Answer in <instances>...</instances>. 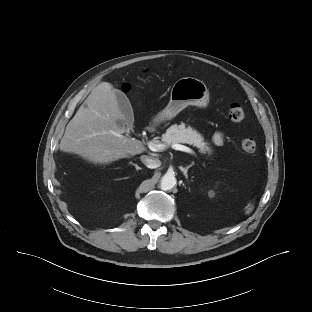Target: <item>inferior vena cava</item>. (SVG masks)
Returning <instances> with one entry per match:
<instances>
[{
  "mask_svg": "<svg viewBox=\"0 0 312 312\" xmlns=\"http://www.w3.org/2000/svg\"><path fill=\"white\" fill-rule=\"evenodd\" d=\"M140 159L142 163L150 169H155L161 165V161L158 158H152L147 155H142Z\"/></svg>",
  "mask_w": 312,
  "mask_h": 312,
  "instance_id": "602c4592",
  "label": "inferior vena cava"
}]
</instances>
